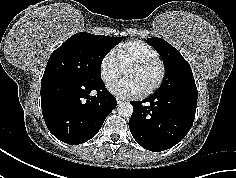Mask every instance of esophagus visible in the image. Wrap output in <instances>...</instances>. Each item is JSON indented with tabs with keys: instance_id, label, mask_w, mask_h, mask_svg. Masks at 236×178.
<instances>
[{
	"instance_id": "34e87169",
	"label": "esophagus",
	"mask_w": 236,
	"mask_h": 178,
	"mask_svg": "<svg viewBox=\"0 0 236 178\" xmlns=\"http://www.w3.org/2000/svg\"><path fill=\"white\" fill-rule=\"evenodd\" d=\"M116 101H117L118 104L123 102V100L121 98H117Z\"/></svg>"
}]
</instances>
